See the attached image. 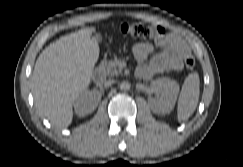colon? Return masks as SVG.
Returning <instances> with one entry per match:
<instances>
[{"instance_id": "colon-1", "label": "colon", "mask_w": 243, "mask_h": 167, "mask_svg": "<svg viewBox=\"0 0 243 167\" xmlns=\"http://www.w3.org/2000/svg\"><path fill=\"white\" fill-rule=\"evenodd\" d=\"M164 28L161 25H155L153 27L148 26L143 23H131L123 24L121 26V33L127 37L151 40L154 37L162 35L164 33ZM185 68L188 71H192L195 67V59L192 55H187L184 61Z\"/></svg>"}]
</instances>
